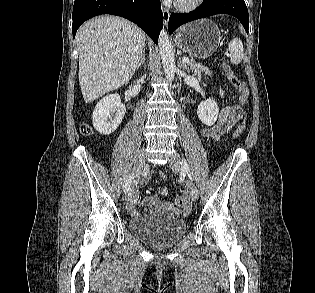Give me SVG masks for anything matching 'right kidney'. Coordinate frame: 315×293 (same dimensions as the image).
Returning <instances> with one entry per match:
<instances>
[{"label": "right kidney", "instance_id": "obj_1", "mask_svg": "<svg viewBox=\"0 0 315 293\" xmlns=\"http://www.w3.org/2000/svg\"><path fill=\"white\" fill-rule=\"evenodd\" d=\"M126 113L118 94L103 97L93 111V127L100 134L110 135L120 125Z\"/></svg>", "mask_w": 315, "mask_h": 293}]
</instances>
